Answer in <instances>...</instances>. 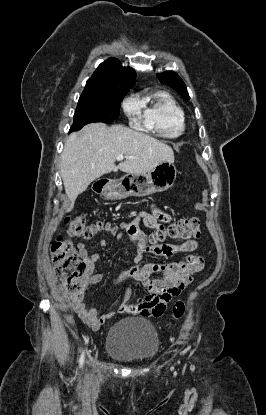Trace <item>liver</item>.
Segmentation results:
<instances>
[{"label":"liver","mask_w":266,"mask_h":415,"mask_svg":"<svg viewBox=\"0 0 266 415\" xmlns=\"http://www.w3.org/2000/svg\"><path fill=\"white\" fill-rule=\"evenodd\" d=\"M119 154L126 159L116 166ZM164 161L174 162L172 148L147 134L124 125H86L68 137L61 155V177L71 202L67 212L73 209L78 195L102 175L118 170L146 174Z\"/></svg>","instance_id":"6515ba94"}]
</instances>
